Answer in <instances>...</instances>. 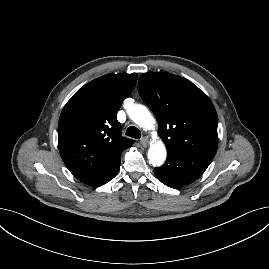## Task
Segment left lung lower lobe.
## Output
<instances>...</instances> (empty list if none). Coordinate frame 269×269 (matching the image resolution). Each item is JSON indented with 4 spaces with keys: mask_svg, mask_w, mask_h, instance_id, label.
Masks as SVG:
<instances>
[{
    "mask_svg": "<svg viewBox=\"0 0 269 269\" xmlns=\"http://www.w3.org/2000/svg\"><path fill=\"white\" fill-rule=\"evenodd\" d=\"M213 156L179 149H169L166 163L154 169L156 177L171 188L197 180L211 163Z\"/></svg>",
    "mask_w": 269,
    "mask_h": 269,
    "instance_id": "obj_1",
    "label": "left lung lower lobe"
}]
</instances>
